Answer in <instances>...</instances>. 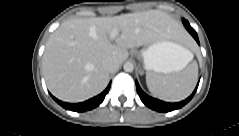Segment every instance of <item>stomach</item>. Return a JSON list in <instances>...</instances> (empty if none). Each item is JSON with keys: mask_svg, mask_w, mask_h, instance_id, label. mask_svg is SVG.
<instances>
[{"mask_svg": "<svg viewBox=\"0 0 239 136\" xmlns=\"http://www.w3.org/2000/svg\"><path fill=\"white\" fill-rule=\"evenodd\" d=\"M189 50L172 40L160 38L143 48L138 55L147 72L167 74L179 72L188 62Z\"/></svg>", "mask_w": 239, "mask_h": 136, "instance_id": "0dacf381", "label": "stomach"}]
</instances>
